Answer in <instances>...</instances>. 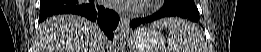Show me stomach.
Wrapping results in <instances>:
<instances>
[{
	"label": "stomach",
	"mask_w": 261,
	"mask_h": 52,
	"mask_svg": "<svg viewBox=\"0 0 261 52\" xmlns=\"http://www.w3.org/2000/svg\"><path fill=\"white\" fill-rule=\"evenodd\" d=\"M133 52H158L163 41L160 33L151 28H138L130 36Z\"/></svg>",
	"instance_id": "1"
}]
</instances>
